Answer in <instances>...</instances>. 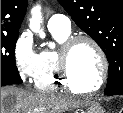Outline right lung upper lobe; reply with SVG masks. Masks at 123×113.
Returning a JSON list of instances; mask_svg holds the SVG:
<instances>
[{"label": "right lung upper lobe", "mask_w": 123, "mask_h": 113, "mask_svg": "<svg viewBox=\"0 0 123 113\" xmlns=\"http://www.w3.org/2000/svg\"><path fill=\"white\" fill-rule=\"evenodd\" d=\"M27 0H1V34L19 33Z\"/></svg>", "instance_id": "cb5924a9"}]
</instances>
